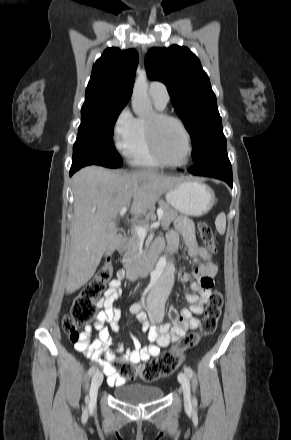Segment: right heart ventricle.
<instances>
[{
    "label": "right heart ventricle",
    "mask_w": 291,
    "mask_h": 440,
    "mask_svg": "<svg viewBox=\"0 0 291 440\" xmlns=\"http://www.w3.org/2000/svg\"><path fill=\"white\" fill-rule=\"evenodd\" d=\"M155 106L157 110L164 109L156 101ZM125 154L129 164L133 167L158 168L162 166L150 150L144 118H135L134 136Z\"/></svg>",
    "instance_id": "right-heart-ventricle-1"
}]
</instances>
